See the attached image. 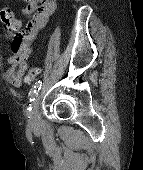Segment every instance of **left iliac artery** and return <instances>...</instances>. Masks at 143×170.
I'll list each match as a JSON object with an SVG mask.
<instances>
[{"label":"left iliac artery","mask_w":143,"mask_h":170,"mask_svg":"<svg viewBox=\"0 0 143 170\" xmlns=\"http://www.w3.org/2000/svg\"><path fill=\"white\" fill-rule=\"evenodd\" d=\"M42 86V81H37L35 83V85L33 86V88L31 89V91L29 92V96H30V101H34L36 99V97L38 96V92L40 91ZM31 105V104H30ZM32 108L29 107L28 111H30Z\"/></svg>","instance_id":"44dca946"}]
</instances>
